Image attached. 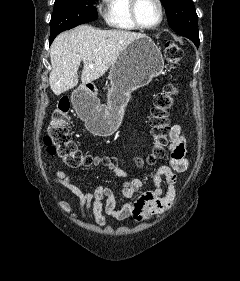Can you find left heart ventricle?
I'll list each match as a JSON object with an SVG mask.
<instances>
[{
	"label": "left heart ventricle",
	"mask_w": 240,
	"mask_h": 281,
	"mask_svg": "<svg viewBox=\"0 0 240 281\" xmlns=\"http://www.w3.org/2000/svg\"><path fill=\"white\" fill-rule=\"evenodd\" d=\"M137 12L143 25L152 26L159 20V7L155 0H139Z\"/></svg>",
	"instance_id": "obj_1"
}]
</instances>
